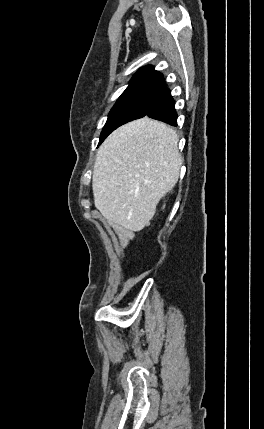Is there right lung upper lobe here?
<instances>
[{"label": "right lung upper lobe", "mask_w": 264, "mask_h": 429, "mask_svg": "<svg viewBox=\"0 0 264 429\" xmlns=\"http://www.w3.org/2000/svg\"><path fill=\"white\" fill-rule=\"evenodd\" d=\"M143 87L163 89L165 87L163 75L151 66L141 68L134 74L126 90Z\"/></svg>", "instance_id": "obj_1"}]
</instances>
